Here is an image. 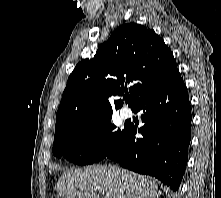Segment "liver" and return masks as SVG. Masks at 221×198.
<instances>
[{
    "instance_id": "liver-1",
    "label": "liver",
    "mask_w": 221,
    "mask_h": 198,
    "mask_svg": "<svg viewBox=\"0 0 221 198\" xmlns=\"http://www.w3.org/2000/svg\"><path fill=\"white\" fill-rule=\"evenodd\" d=\"M63 198H158L155 179L115 166H88L64 173L55 187ZM79 189V190H78Z\"/></svg>"
}]
</instances>
